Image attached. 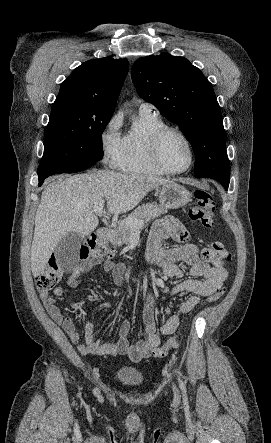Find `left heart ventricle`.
Masks as SVG:
<instances>
[{
	"label": "left heart ventricle",
	"instance_id": "b2bd125f",
	"mask_svg": "<svg viewBox=\"0 0 271 443\" xmlns=\"http://www.w3.org/2000/svg\"><path fill=\"white\" fill-rule=\"evenodd\" d=\"M161 156L166 165L175 170L185 168L190 162V150L182 137L168 134L161 145Z\"/></svg>",
	"mask_w": 271,
	"mask_h": 443
}]
</instances>
